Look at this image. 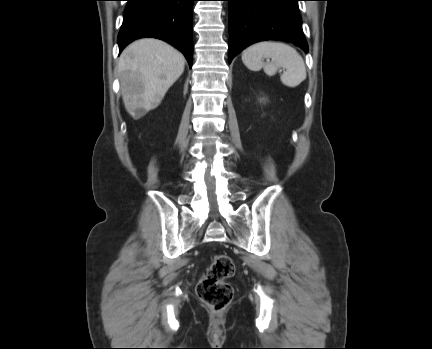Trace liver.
I'll list each match as a JSON object with an SVG mask.
<instances>
[{"label": "liver", "instance_id": "1", "mask_svg": "<svg viewBox=\"0 0 432 349\" xmlns=\"http://www.w3.org/2000/svg\"><path fill=\"white\" fill-rule=\"evenodd\" d=\"M184 67V56L161 40L145 38L128 45L118 63L126 110L139 118L155 109Z\"/></svg>", "mask_w": 432, "mask_h": 349}]
</instances>
